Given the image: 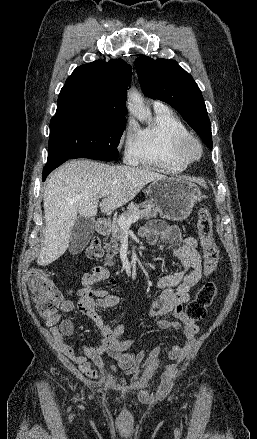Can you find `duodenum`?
<instances>
[{
	"label": "duodenum",
	"instance_id": "410a0bca",
	"mask_svg": "<svg viewBox=\"0 0 257 439\" xmlns=\"http://www.w3.org/2000/svg\"><path fill=\"white\" fill-rule=\"evenodd\" d=\"M96 228H97V232L100 235L104 236V235H106L109 232L110 225H109L108 221L99 220L96 223Z\"/></svg>",
	"mask_w": 257,
	"mask_h": 439
}]
</instances>
